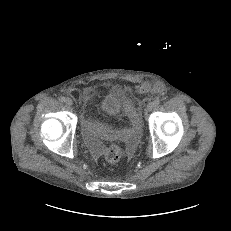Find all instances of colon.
<instances>
[{
  "label": "colon",
  "instance_id": "1",
  "mask_svg": "<svg viewBox=\"0 0 231 231\" xmlns=\"http://www.w3.org/2000/svg\"><path fill=\"white\" fill-rule=\"evenodd\" d=\"M150 89H151V87L149 84H143L142 86H140V91H142V92H147ZM154 90L156 92H159L160 86L157 84L154 85ZM124 108H125L127 115L131 119L132 123L138 124L139 123V117H138V114H137L136 110L134 109V107L130 103H127L124 105ZM121 157H122V148L119 144H112L106 150L105 159L109 163H116L121 159Z\"/></svg>",
  "mask_w": 231,
  "mask_h": 231
}]
</instances>
